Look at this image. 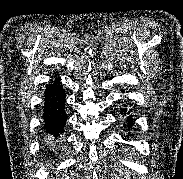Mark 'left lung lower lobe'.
<instances>
[{
  "instance_id": "0a47b994",
  "label": "left lung lower lobe",
  "mask_w": 183,
  "mask_h": 179,
  "mask_svg": "<svg viewBox=\"0 0 183 179\" xmlns=\"http://www.w3.org/2000/svg\"><path fill=\"white\" fill-rule=\"evenodd\" d=\"M121 115L127 118V124H124V127H128V130L133 126V118L131 115V110H127L126 105L125 108L121 110Z\"/></svg>"
}]
</instances>
